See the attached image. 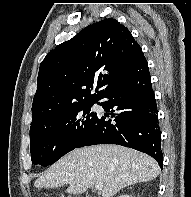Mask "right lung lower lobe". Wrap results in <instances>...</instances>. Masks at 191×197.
I'll list each match as a JSON object with an SVG mask.
<instances>
[{
    "instance_id": "98d812e1",
    "label": "right lung lower lobe",
    "mask_w": 191,
    "mask_h": 197,
    "mask_svg": "<svg viewBox=\"0 0 191 197\" xmlns=\"http://www.w3.org/2000/svg\"><path fill=\"white\" fill-rule=\"evenodd\" d=\"M100 99L104 101L98 104L111 110V119L97 116L76 148L118 144L152 156L162 169L161 131L148 65L107 88Z\"/></svg>"
}]
</instances>
